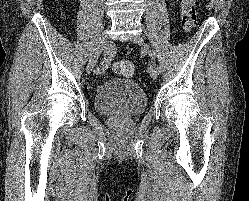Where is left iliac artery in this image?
Returning a JSON list of instances; mask_svg holds the SVG:
<instances>
[{
  "label": "left iliac artery",
  "instance_id": "44dca946",
  "mask_svg": "<svg viewBox=\"0 0 249 201\" xmlns=\"http://www.w3.org/2000/svg\"><path fill=\"white\" fill-rule=\"evenodd\" d=\"M148 53H149V56H150L152 59H155L156 54H155V52H154L153 50H149ZM157 71H158L159 74L161 73V68H160L159 66H157Z\"/></svg>",
  "mask_w": 249,
  "mask_h": 201
}]
</instances>
